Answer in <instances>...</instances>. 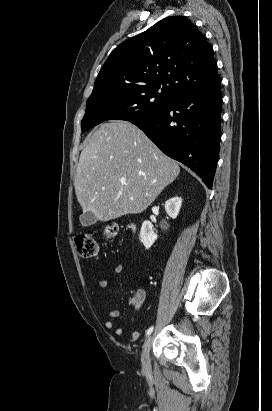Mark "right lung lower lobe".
<instances>
[{
    "label": "right lung lower lobe",
    "instance_id": "right-lung-lower-lobe-1",
    "mask_svg": "<svg viewBox=\"0 0 272 411\" xmlns=\"http://www.w3.org/2000/svg\"><path fill=\"white\" fill-rule=\"evenodd\" d=\"M221 79L178 94L156 114L132 121L167 156L182 162L211 189L221 137Z\"/></svg>",
    "mask_w": 272,
    "mask_h": 411
}]
</instances>
